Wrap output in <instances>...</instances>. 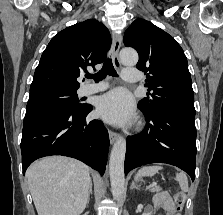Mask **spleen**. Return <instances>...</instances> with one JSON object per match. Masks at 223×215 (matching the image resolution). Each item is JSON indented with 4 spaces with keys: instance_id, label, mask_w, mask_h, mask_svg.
<instances>
[{
    "instance_id": "obj_1",
    "label": "spleen",
    "mask_w": 223,
    "mask_h": 215,
    "mask_svg": "<svg viewBox=\"0 0 223 215\" xmlns=\"http://www.w3.org/2000/svg\"><path fill=\"white\" fill-rule=\"evenodd\" d=\"M159 169H162L161 165H147V167L139 169L138 175H154V173H158ZM176 179L179 181L181 189L188 191V179L184 171L176 173Z\"/></svg>"
}]
</instances>
